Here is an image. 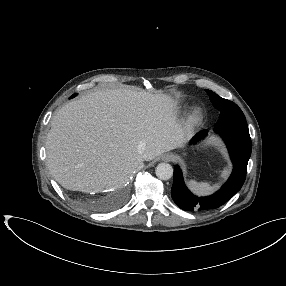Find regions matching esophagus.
<instances>
[{"label":"esophagus","instance_id":"esophagus-1","mask_svg":"<svg viewBox=\"0 0 286 286\" xmlns=\"http://www.w3.org/2000/svg\"><path fill=\"white\" fill-rule=\"evenodd\" d=\"M163 161L165 162H171L175 160V155L172 153H167L162 157Z\"/></svg>","mask_w":286,"mask_h":286}]
</instances>
